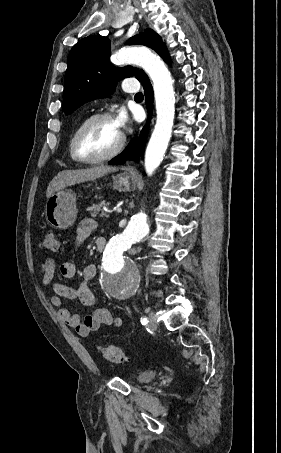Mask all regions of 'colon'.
Here are the masks:
<instances>
[{
	"instance_id": "5ec220e1",
	"label": "colon",
	"mask_w": 281,
	"mask_h": 453,
	"mask_svg": "<svg viewBox=\"0 0 281 453\" xmlns=\"http://www.w3.org/2000/svg\"><path fill=\"white\" fill-rule=\"evenodd\" d=\"M40 250L46 252L47 255H56L58 243L57 232L55 230H46L44 232L43 239L40 242ZM98 350L103 361L106 363H126L129 361L128 355L119 348L101 346Z\"/></svg>"
}]
</instances>
